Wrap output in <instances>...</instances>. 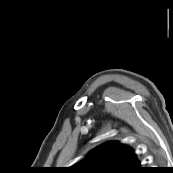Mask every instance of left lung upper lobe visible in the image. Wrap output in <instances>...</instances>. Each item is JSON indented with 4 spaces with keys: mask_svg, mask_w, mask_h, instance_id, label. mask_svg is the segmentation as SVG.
Instances as JSON below:
<instances>
[{
    "mask_svg": "<svg viewBox=\"0 0 173 173\" xmlns=\"http://www.w3.org/2000/svg\"><path fill=\"white\" fill-rule=\"evenodd\" d=\"M134 151L118 142H107L71 167L72 173H142Z\"/></svg>",
    "mask_w": 173,
    "mask_h": 173,
    "instance_id": "left-lung-upper-lobe-1",
    "label": "left lung upper lobe"
}]
</instances>
